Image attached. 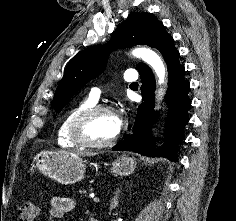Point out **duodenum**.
Instances as JSON below:
<instances>
[{"mask_svg":"<svg viewBox=\"0 0 236 221\" xmlns=\"http://www.w3.org/2000/svg\"><path fill=\"white\" fill-rule=\"evenodd\" d=\"M89 221H99V220L96 219V218L91 217V218L89 219Z\"/></svg>","mask_w":236,"mask_h":221,"instance_id":"duodenum-1","label":"duodenum"}]
</instances>
